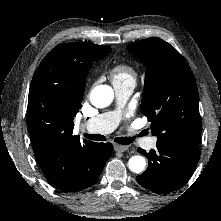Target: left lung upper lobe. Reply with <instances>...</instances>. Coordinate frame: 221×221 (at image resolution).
I'll return each mask as SVG.
<instances>
[{"label":"left lung upper lobe","instance_id":"obj_1","mask_svg":"<svg viewBox=\"0 0 221 221\" xmlns=\"http://www.w3.org/2000/svg\"><path fill=\"white\" fill-rule=\"evenodd\" d=\"M127 50L146 67L140 109L151 122L157 143L199 147L198 91L186 59L157 37L133 42Z\"/></svg>","mask_w":221,"mask_h":221}]
</instances>
